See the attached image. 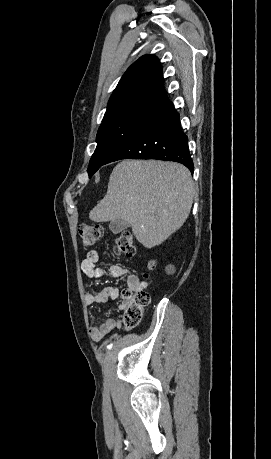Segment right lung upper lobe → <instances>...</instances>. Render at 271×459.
<instances>
[{
	"label": "right lung upper lobe",
	"instance_id": "cb5924a9",
	"mask_svg": "<svg viewBox=\"0 0 271 459\" xmlns=\"http://www.w3.org/2000/svg\"><path fill=\"white\" fill-rule=\"evenodd\" d=\"M171 105L164 89L158 58L145 55L122 76L109 99L104 116L130 110H147L158 114Z\"/></svg>",
	"mask_w": 271,
	"mask_h": 459
}]
</instances>
